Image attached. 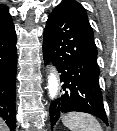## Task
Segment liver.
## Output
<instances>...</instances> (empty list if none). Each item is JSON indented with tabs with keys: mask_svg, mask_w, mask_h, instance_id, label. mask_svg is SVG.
<instances>
[{
	"mask_svg": "<svg viewBox=\"0 0 117 131\" xmlns=\"http://www.w3.org/2000/svg\"><path fill=\"white\" fill-rule=\"evenodd\" d=\"M7 127L5 125V123L2 121V119L0 118V131H6Z\"/></svg>",
	"mask_w": 117,
	"mask_h": 131,
	"instance_id": "liver-1",
	"label": "liver"
}]
</instances>
